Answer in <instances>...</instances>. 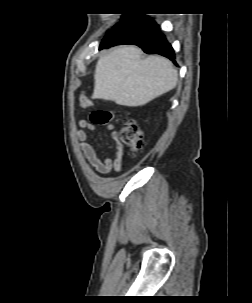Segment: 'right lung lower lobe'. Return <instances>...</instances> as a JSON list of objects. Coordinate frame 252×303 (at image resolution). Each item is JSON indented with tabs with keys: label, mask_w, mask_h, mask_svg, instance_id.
<instances>
[{
	"label": "right lung lower lobe",
	"mask_w": 252,
	"mask_h": 303,
	"mask_svg": "<svg viewBox=\"0 0 252 303\" xmlns=\"http://www.w3.org/2000/svg\"><path fill=\"white\" fill-rule=\"evenodd\" d=\"M154 20L142 14H127L104 37L100 49L119 44H133L145 53L160 54L175 64L174 50L158 30Z\"/></svg>",
	"instance_id": "right-lung-lower-lobe-1"
}]
</instances>
